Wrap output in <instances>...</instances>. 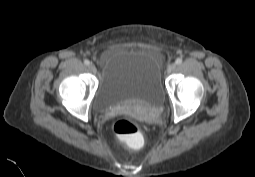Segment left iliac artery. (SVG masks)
Returning <instances> with one entry per match:
<instances>
[{
	"instance_id": "obj_1",
	"label": "left iliac artery",
	"mask_w": 255,
	"mask_h": 177,
	"mask_svg": "<svg viewBox=\"0 0 255 177\" xmlns=\"http://www.w3.org/2000/svg\"><path fill=\"white\" fill-rule=\"evenodd\" d=\"M175 62H176L177 65H180V64H182V59L181 58H177Z\"/></svg>"
}]
</instances>
